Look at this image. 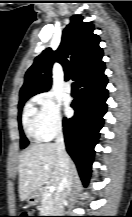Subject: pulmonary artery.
Returning <instances> with one entry per match:
<instances>
[{"label":"pulmonary artery","mask_w":132,"mask_h":217,"mask_svg":"<svg viewBox=\"0 0 132 217\" xmlns=\"http://www.w3.org/2000/svg\"><path fill=\"white\" fill-rule=\"evenodd\" d=\"M64 90H65L67 93H70V92H71V86H70L69 83H66V84H65Z\"/></svg>","instance_id":"obj_1"}]
</instances>
